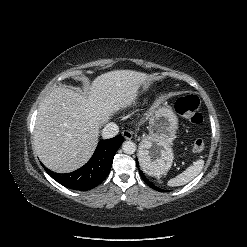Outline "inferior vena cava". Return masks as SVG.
<instances>
[{
  "label": "inferior vena cava",
  "mask_w": 247,
  "mask_h": 247,
  "mask_svg": "<svg viewBox=\"0 0 247 247\" xmlns=\"http://www.w3.org/2000/svg\"><path fill=\"white\" fill-rule=\"evenodd\" d=\"M119 132V128L117 124L111 122L105 125L102 130V137L104 139L115 137Z\"/></svg>",
  "instance_id": "inferior-vena-cava-1"
}]
</instances>
